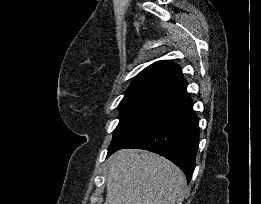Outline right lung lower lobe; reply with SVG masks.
I'll return each instance as SVG.
<instances>
[{"label": "right lung lower lobe", "mask_w": 261, "mask_h": 204, "mask_svg": "<svg viewBox=\"0 0 261 204\" xmlns=\"http://www.w3.org/2000/svg\"><path fill=\"white\" fill-rule=\"evenodd\" d=\"M186 84L173 91L147 117L112 148L107 157L122 148L145 149L176 164L189 182L199 144V122Z\"/></svg>", "instance_id": "obj_1"}]
</instances>
